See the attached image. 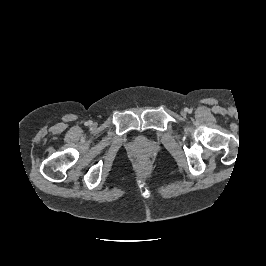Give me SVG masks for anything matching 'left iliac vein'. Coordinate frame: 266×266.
Wrapping results in <instances>:
<instances>
[{"label": "left iliac vein", "instance_id": "4c4485c4", "mask_svg": "<svg viewBox=\"0 0 266 266\" xmlns=\"http://www.w3.org/2000/svg\"><path fill=\"white\" fill-rule=\"evenodd\" d=\"M181 116L185 117L186 116V111H181Z\"/></svg>", "mask_w": 266, "mask_h": 266}]
</instances>
